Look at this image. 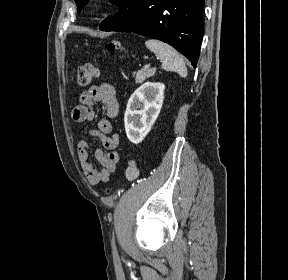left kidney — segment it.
<instances>
[{"mask_svg":"<svg viewBox=\"0 0 288 280\" xmlns=\"http://www.w3.org/2000/svg\"><path fill=\"white\" fill-rule=\"evenodd\" d=\"M163 83L146 82L134 91L124 115L127 138L134 144L143 141L155 123L164 99Z\"/></svg>","mask_w":288,"mask_h":280,"instance_id":"1","label":"left kidney"}]
</instances>
